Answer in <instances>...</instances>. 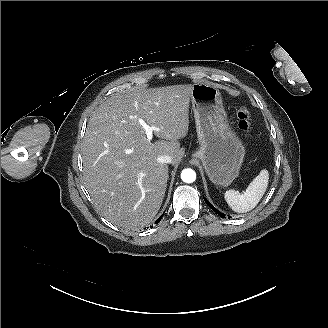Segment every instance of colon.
I'll use <instances>...</instances> for the list:
<instances>
[{"instance_id":"colon-1","label":"colon","mask_w":328,"mask_h":328,"mask_svg":"<svg viewBox=\"0 0 328 328\" xmlns=\"http://www.w3.org/2000/svg\"><path fill=\"white\" fill-rule=\"evenodd\" d=\"M238 127L246 135L250 137V132L252 130L251 125V115L248 109L240 108L237 112Z\"/></svg>"}]
</instances>
